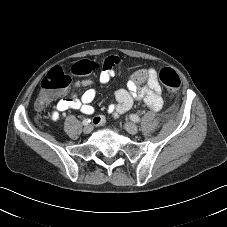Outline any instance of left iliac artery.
<instances>
[{
    "instance_id": "left-iliac-artery-1",
    "label": "left iliac artery",
    "mask_w": 227,
    "mask_h": 227,
    "mask_svg": "<svg viewBox=\"0 0 227 227\" xmlns=\"http://www.w3.org/2000/svg\"><path fill=\"white\" fill-rule=\"evenodd\" d=\"M130 119L134 122H140V118L139 116L135 115V114H131L130 115Z\"/></svg>"
}]
</instances>
